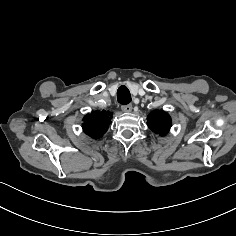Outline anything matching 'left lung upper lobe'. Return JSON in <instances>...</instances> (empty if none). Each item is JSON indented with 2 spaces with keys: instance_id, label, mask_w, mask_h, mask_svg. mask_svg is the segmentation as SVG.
Listing matches in <instances>:
<instances>
[{
  "instance_id": "obj_1",
  "label": "left lung upper lobe",
  "mask_w": 236,
  "mask_h": 236,
  "mask_svg": "<svg viewBox=\"0 0 236 236\" xmlns=\"http://www.w3.org/2000/svg\"><path fill=\"white\" fill-rule=\"evenodd\" d=\"M147 125L154 133L164 136L169 132L172 121L168 113L155 110L148 115Z\"/></svg>"
}]
</instances>
